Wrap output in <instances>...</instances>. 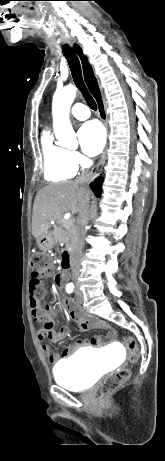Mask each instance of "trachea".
<instances>
[{
  "mask_svg": "<svg viewBox=\"0 0 165 461\" xmlns=\"http://www.w3.org/2000/svg\"><path fill=\"white\" fill-rule=\"evenodd\" d=\"M63 51L65 53V56L67 58V61H68V64H69V67H70V71H71V74H72V77L77 85V87L82 91V93L84 94L85 98H86V101H87V104L88 106L93 109V110H96L97 108V105H96V102L94 101V99L89 95L88 91L86 90L85 88V85L83 83V80H82V72H81V65H80V61L77 57V55L72 52L71 49H69L68 46H64L63 47ZM82 54V52H81ZM83 55V54H82ZM84 56V55H83ZM85 57V56H84ZM84 77H85V80H86V83L91 91V93L93 94V96L95 97V99L97 100V102H101L102 103V98H101V94H100V91H99V87H98V83H97V79L96 77L94 76V73H93V70H92V67L91 65L89 64L87 58L85 57V65H84Z\"/></svg>",
  "mask_w": 165,
  "mask_h": 461,
  "instance_id": "trachea-1",
  "label": "trachea"
}]
</instances>
